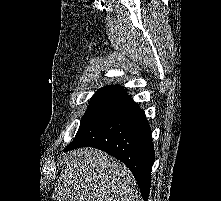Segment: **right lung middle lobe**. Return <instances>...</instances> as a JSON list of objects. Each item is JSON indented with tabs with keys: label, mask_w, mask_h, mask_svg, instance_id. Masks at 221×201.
Wrapping results in <instances>:
<instances>
[{
	"label": "right lung middle lobe",
	"mask_w": 221,
	"mask_h": 201,
	"mask_svg": "<svg viewBox=\"0 0 221 201\" xmlns=\"http://www.w3.org/2000/svg\"><path fill=\"white\" fill-rule=\"evenodd\" d=\"M117 92L116 89L102 88L98 90L91 98V103L81 119L80 127L83 128L92 116ZM78 130V131H79Z\"/></svg>",
	"instance_id": "right-lung-middle-lobe-1"
}]
</instances>
